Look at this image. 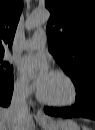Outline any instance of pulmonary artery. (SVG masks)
I'll return each mask as SVG.
<instances>
[{
    "mask_svg": "<svg viewBox=\"0 0 95 130\" xmlns=\"http://www.w3.org/2000/svg\"><path fill=\"white\" fill-rule=\"evenodd\" d=\"M46 43V33L43 31H37L33 34V37L26 40L22 44L24 50H35L44 47Z\"/></svg>",
    "mask_w": 95,
    "mask_h": 130,
    "instance_id": "e3ab8cb5",
    "label": "pulmonary artery"
}]
</instances>
